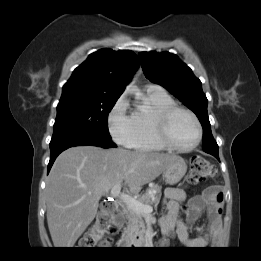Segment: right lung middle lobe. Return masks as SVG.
<instances>
[{"label": "right lung middle lobe", "mask_w": 261, "mask_h": 261, "mask_svg": "<svg viewBox=\"0 0 261 261\" xmlns=\"http://www.w3.org/2000/svg\"><path fill=\"white\" fill-rule=\"evenodd\" d=\"M119 96H63L57 106L53 137L81 132L110 137L108 114Z\"/></svg>", "instance_id": "right-lung-middle-lobe-1"}]
</instances>
